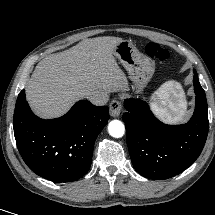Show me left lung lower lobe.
Wrapping results in <instances>:
<instances>
[{
    "mask_svg": "<svg viewBox=\"0 0 215 215\" xmlns=\"http://www.w3.org/2000/svg\"><path fill=\"white\" fill-rule=\"evenodd\" d=\"M195 110L182 125L159 121L140 99H126L123 121L135 170L150 179H168L187 169L200 155L208 134L206 95L194 70Z\"/></svg>",
    "mask_w": 215,
    "mask_h": 215,
    "instance_id": "1",
    "label": "left lung lower lobe"
}]
</instances>
